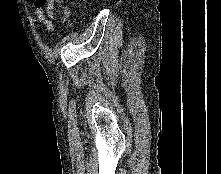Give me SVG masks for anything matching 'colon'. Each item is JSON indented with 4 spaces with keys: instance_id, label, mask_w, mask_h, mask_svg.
Masks as SVG:
<instances>
[{
    "instance_id": "5ec220e1",
    "label": "colon",
    "mask_w": 221,
    "mask_h": 174,
    "mask_svg": "<svg viewBox=\"0 0 221 174\" xmlns=\"http://www.w3.org/2000/svg\"><path fill=\"white\" fill-rule=\"evenodd\" d=\"M36 1L42 7L47 6L49 8L50 14L54 15L53 5L60 3L62 0H36Z\"/></svg>"
}]
</instances>
